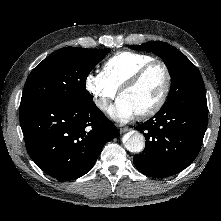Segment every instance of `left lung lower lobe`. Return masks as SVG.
Wrapping results in <instances>:
<instances>
[{
    "label": "left lung lower lobe",
    "instance_id": "0a47b994",
    "mask_svg": "<svg viewBox=\"0 0 221 221\" xmlns=\"http://www.w3.org/2000/svg\"><path fill=\"white\" fill-rule=\"evenodd\" d=\"M208 123L207 101L165 104L153 118L135 129L146 139L133 158L143 174L162 178L185 169L198 155Z\"/></svg>",
    "mask_w": 221,
    "mask_h": 221
}]
</instances>
